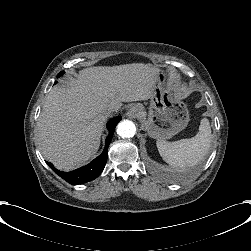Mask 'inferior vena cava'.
<instances>
[{"label":"inferior vena cava","mask_w":251,"mask_h":251,"mask_svg":"<svg viewBox=\"0 0 251 251\" xmlns=\"http://www.w3.org/2000/svg\"><path fill=\"white\" fill-rule=\"evenodd\" d=\"M118 110V108H115V107H112L111 109H110V112H115V111H117Z\"/></svg>","instance_id":"inferior-vena-cava-1"}]
</instances>
